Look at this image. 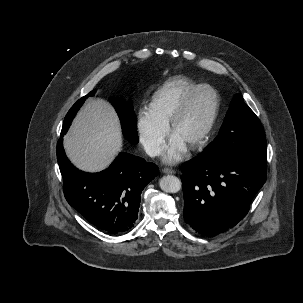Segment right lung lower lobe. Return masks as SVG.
Instances as JSON below:
<instances>
[{
    "label": "right lung lower lobe",
    "instance_id": "1",
    "mask_svg": "<svg viewBox=\"0 0 303 303\" xmlns=\"http://www.w3.org/2000/svg\"><path fill=\"white\" fill-rule=\"evenodd\" d=\"M63 135L61 132L57 143V160L67 202L90 223L109 234L129 231L138 217L141 192L157 176L158 167L121 152L104 171H80L66 157Z\"/></svg>",
    "mask_w": 303,
    "mask_h": 303
}]
</instances>
